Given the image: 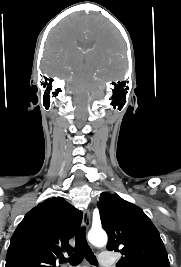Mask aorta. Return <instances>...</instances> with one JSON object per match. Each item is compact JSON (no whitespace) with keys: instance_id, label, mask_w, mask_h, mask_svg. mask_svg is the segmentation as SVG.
Listing matches in <instances>:
<instances>
[{"instance_id":"obj_1","label":"aorta","mask_w":181,"mask_h":267,"mask_svg":"<svg viewBox=\"0 0 181 267\" xmlns=\"http://www.w3.org/2000/svg\"><path fill=\"white\" fill-rule=\"evenodd\" d=\"M88 240L96 247H103L107 244V234L103 230H91L88 233Z\"/></svg>"}]
</instances>
